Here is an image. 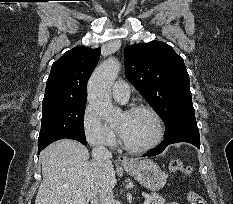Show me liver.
<instances>
[{
    "mask_svg": "<svg viewBox=\"0 0 233 204\" xmlns=\"http://www.w3.org/2000/svg\"><path fill=\"white\" fill-rule=\"evenodd\" d=\"M40 159L43 180L35 204H88L104 173L112 188L117 183L112 163L105 169L95 159L89 161L88 149L72 139L52 143Z\"/></svg>",
    "mask_w": 233,
    "mask_h": 204,
    "instance_id": "1",
    "label": "liver"
}]
</instances>
